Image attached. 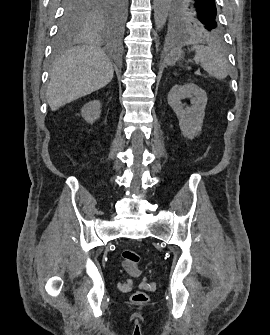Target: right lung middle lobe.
I'll use <instances>...</instances> for the list:
<instances>
[{
	"label": "right lung middle lobe",
	"instance_id": "dd1d6c3e",
	"mask_svg": "<svg viewBox=\"0 0 270 335\" xmlns=\"http://www.w3.org/2000/svg\"><path fill=\"white\" fill-rule=\"evenodd\" d=\"M127 0H65L56 42L97 28L118 30L126 15Z\"/></svg>",
	"mask_w": 270,
	"mask_h": 335
}]
</instances>
